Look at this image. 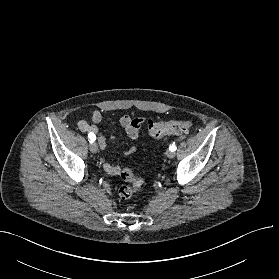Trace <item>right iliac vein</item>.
I'll return each instance as SVG.
<instances>
[{"label":"right iliac vein","instance_id":"obj_1","mask_svg":"<svg viewBox=\"0 0 279 279\" xmlns=\"http://www.w3.org/2000/svg\"><path fill=\"white\" fill-rule=\"evenodd\" d=\"M89 148L92 153L98 152V145L95 142L90 143Z\"/></svg>","mask_w":279,"mask_h":279}]
</instances>
